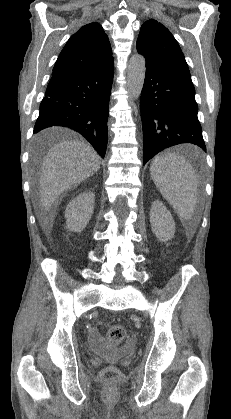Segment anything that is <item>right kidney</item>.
<instances>
[{
    "mask_svg": "<svg viewBox=\"0 0 231 419\" xmlns=\"http://www.w3.org/2000/svg\"><path fill=\"white\" fill-rule=\"evenodd\" d=\"M95 194L82 192L72 199L65 211L66 228L73 232H82L89 223L94 209Z\"/></svg>",
    "mask_w": 231,
    "mask_h": 419,
    "instance_id": "ca27d5eb",
    "label": "right kidney"
}]
</instances>
